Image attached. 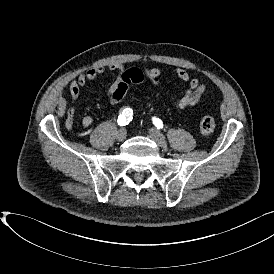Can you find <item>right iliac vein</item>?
<instances>
[{
  "instance_id": "63e3f726",
  "label": "right iliac vein",
  "mask_w": 274,
  "mask_h": 274,
  "mask_svg": "<svg viewBox=\"0 0 274 274\" xmlns=\"http://www.w3.org/2000/svg\"><path fill=\"white\" fill-rule=\"evenodd\" d=\"M127 132L124 128H121L120 130H118L117 135H116V139L120 142L124 141L126 138Z\"/></svg>"
}]
</instances>
